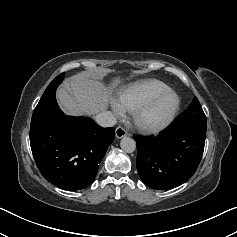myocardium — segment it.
I'll use <instances>...</instances> for the list:
<instances>
[{"label": "myocardium", "instance_id": "f54148a6", "mask_svg": "<svg viewBox=\"0 0 237 237\" xmlns=\"http://www.w3.org/2000/svg\"><path fill=\"white\" fill-rule=\"evenodd\" d=\"M169 97L173 99V103L168 112L158 121L150 122L146 120V114L150 112L160 101ZM180 105L181 100L179 95L175 91L169 89L165 92L152 96L137 106L133 110V122L141 131L149 133L159 132L172 123L180 109Z\"/></svg>", "mask_w": 237, "mask_h": 237}]
</instances>
